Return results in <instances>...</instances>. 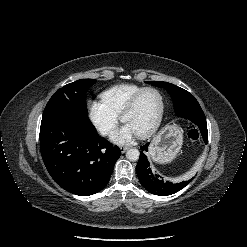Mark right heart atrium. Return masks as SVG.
Listing matches in <instances>:
<instances>
[{
  "label": "right heart atrium",
  "mask_w": 247,
  "mask_h": 247,
  "mask_svg": "<svg viewBox=\"0 0 247 247\" xmlns=\"http://www.w3.org/2000/svg\"><path fill=\"white\" fill-rule=\"evenodd\" d=\"M87 112L89 120L103 136L109 135L119 121V115L113 112L103 101L90 100L87 104Z\"/></svg>",
  "instance_id": "d8ad5b80"
}]
</instances>
